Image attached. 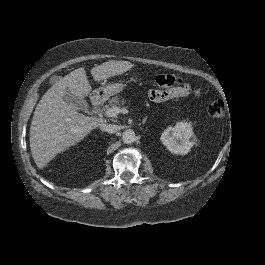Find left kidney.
<instances>
[{
	"instance_id": "obj_1",
	"label": "left kidney",
	"mask_w": 265,
	"mask_h": 265,
	"mask_svg": "<svg viewBox=\"0 0 265 265\" xmlns=\"http://www.w3.org/2000/svg\"><path fill=\"white\" fill-rule=\"evenodd\" d=\"M193 129L191 121L179 120L174 127L169 126L162 132L160 140L172 153L187 154L198 142V137ZM174 136L177 138L184 137V140L178 143Z\"/></svg>"
}]
</instances>
